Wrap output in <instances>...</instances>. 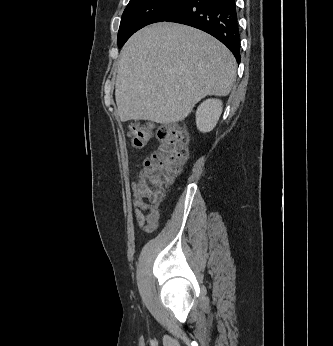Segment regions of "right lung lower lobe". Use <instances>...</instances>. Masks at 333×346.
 <instances>
[{
	"label": "right lung lower lobe",
	"instance_id": "98d812e1",
	"mask_svg": "<svg viewBox=\"0 0 333 346\" xmlns=\"http://www.w3.org/2000/svg\"><path fill=\"white\" fill-rule=\"evenodd\" d=\"M164 21L195 27L221 41L240 62L235 0H184Z\"/></svg>",
	"mask_w": 333,
	"mask_h": 346
}]
</instances>
